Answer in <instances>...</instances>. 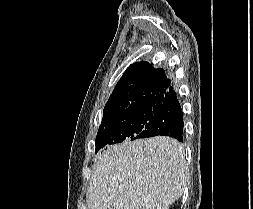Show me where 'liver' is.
<instances>
[{"label":"liver","instance_id":"1","mask_svg":"<svg viewBox=\"0 0 253 209\" xmlns=\"http://www.w3.org/2000/svg\"><path fill=\"white\" fill-rule=\"evenodd\" d=\"M187 180L184 149L177 140H126L94 160L88 209H169Z\"/></svg>","mask_w":253,"mask_h":209}]
</instances>
